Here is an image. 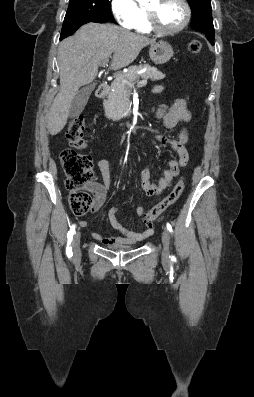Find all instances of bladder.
Returning <instances> with one entry per match:
<instances>
[{
    "label": "bladder",
    "mask_w": 254,
    "mask_h": 397,
    "mask_svg": "<svg viewBox=\"0 0 254 397\" xmlns=\"http://www.w3.org/2000/svg\"><path fill=\"white\" fill-rule=\"evenodd\" d=\"M134 248H135L134 246H128V245H119V246L110 247V249L115 251H130L133 250Z\"/></svg>",
    "instance_id": "obj_1"
}]
</instances>
